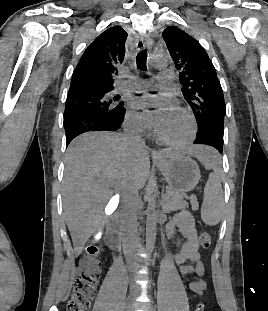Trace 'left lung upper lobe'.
<instances>
[{
    "instance_id": "left-lung-upper-lobe-1",
    "label": "left lung upper lobe",
    "mask_w": 268,
    "mask_h": 311,
    "mask_svg": "<svg viewBox=\"0 0 268 311\" xmlns=\"http://www.w3.org/2000/svg\"><path fill=\"white\" fill-rule=\"evenodd\" d=\"M162 35L179 71L182 93L194 113L198 129L217 125L216 117L225 116L226 106L216 70L206 51L177 27H167Z\"/></svg>"
}]
</instances>
